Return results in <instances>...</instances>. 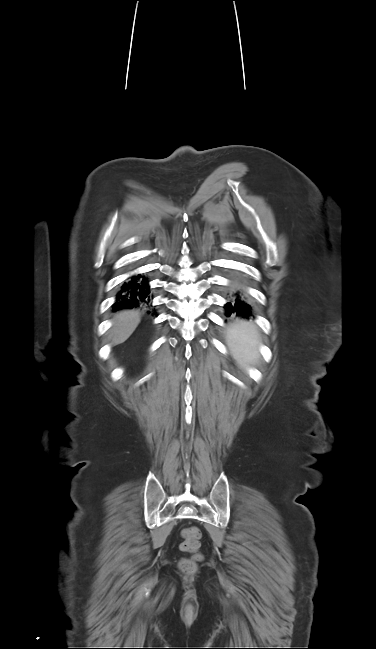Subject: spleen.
I'll use <instances>...</instances> for the list:
<instances>
[{"label":"spleen","mask_w":376,"mask_h":649,"mask_svg":"<svg viewBox=\"0 0 376 649\" xmlns=\"http://www.w3.org/2000/svg\"><path fill=\"white\" fill-rule=\"evenodd\" d=\"M227 339L228 346L239 360L253 362L258 357L259 332L255 324L237 321L228 329Z\"/></svg>","instance_id":"1"}]
</instances>
